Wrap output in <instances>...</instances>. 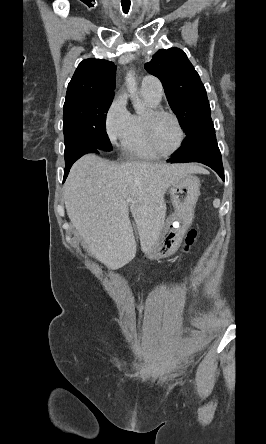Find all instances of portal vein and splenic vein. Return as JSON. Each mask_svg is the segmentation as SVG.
Segmentation results:
<instances>
[{
	"label": "portal vein and splenic vein",
	"instance_id": "portal-vein-and-splenic-vein-1",
	"mask_svg": "<svg viewBox=\"0 0 266 444\" xmlns=\"http://www.w3.org/2000/svg\"><path fill=\"white\" fill-rule=\"evenodd\" d=\"M130 201H131V200L128 198V199H127V202H130Z\"/></svg>",
	"mask_w": 266,
	"mask_h": 444
}]
</instances>
